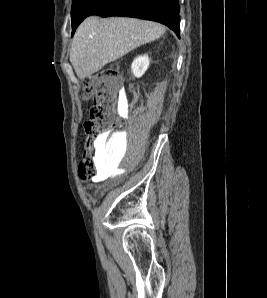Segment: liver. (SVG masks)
<instances>
[{"label":"liver","mask_w":267,"mask_h":298,"mask_svg":"<svg viewBox=\"0 0 267 298\" xmlns=\"http://www.w3.org/2000/svg\"><path fill=\"white\" fill-rule=\"evenodd\" d=\"M164 32V27L151 21L91 16L76 30L70 62L78 78L85 79L131 50L155 41Z\"/></svg>","instance_id":"1"}]
</instances>
